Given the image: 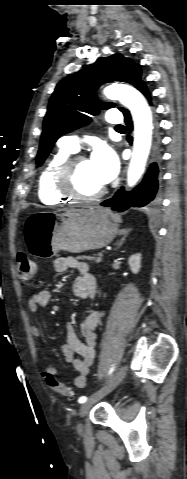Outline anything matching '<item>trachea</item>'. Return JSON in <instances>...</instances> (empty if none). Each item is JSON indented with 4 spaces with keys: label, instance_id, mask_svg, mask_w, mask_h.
<instances>
[{
    "label": "trachea",
    "instance_id": "obj_1",
    "mask_svg": "<svg viewBox=\"0 0 187 479\" xmlns=\"http://www.w3.org/2000/svg\"><path fill=\"white\" fill-rule=\"evenodd\" d=\"M123 128H125L123 125L116 126V129H123Z\"/></svg>",
    "mask_w": 187,
    "mask_h": 479
}]
</instances>
